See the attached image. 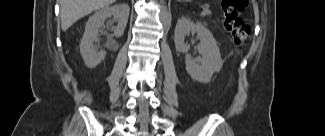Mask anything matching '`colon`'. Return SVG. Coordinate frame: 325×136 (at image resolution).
<instances>
[{"label": "colon", "instance_id": "5ec220e1", "mask_svg": "<svg viewBox=\"0 0 325 136\" xmlns=\"http://www.w3.org/2000/svg\"><path fill=\"white\" fill-rule=\"evenodd\" d=\"M248 0H222L225 27L237 46H245L251 38V28L244 17Z\"/></svg>", "mask_w": 325, "mask_h": 136}]
</instances>
